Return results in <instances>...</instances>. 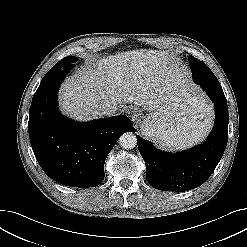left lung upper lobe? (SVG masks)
Here are the masks:
<instances>
[{
	"label": "left lung upper lobe",
	"instance_id": "1",
	"mask_svg": "<svg viewBox=\"0 0 247 247\" xmlns=\"http://www.w3.org/2000/svg\"><path fill=\"white\" fill-rule=\"evenodd\" d=\"M189 61H190V67L193 69L195 65L201 63L198 59L194 58L193 56H189Z\"/></svg>",
	"mask_w": 247,
	"mask_h": 247
}]
</instances>
